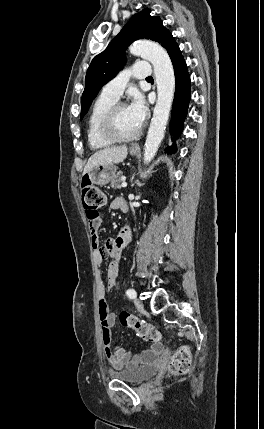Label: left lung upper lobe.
I'll return each instance as SVG.
<instances>
[{"mask_svg":"<svg viewBox=\"0 0 264 429\" xmlns=\"http://www.w3.org/2000/svg\"><path fill=\"white\" fill-rule=\"evenodd\" d=\"M169 32L159 17H151L148 8L133 15L107 48L95 56L87 70L82 94L81 117L87 113L101 87L113 79L125 64V49L137 39H151L161 43Z\"/></svg>","mask_w":264,"mask_h":429,"instance_id":"5c2ea615","label":"left lung upper lobe"}]
</instances>
